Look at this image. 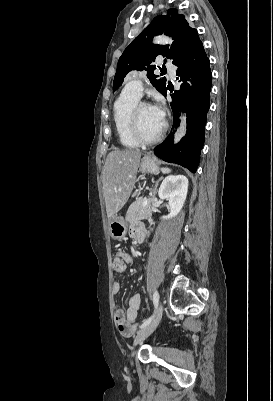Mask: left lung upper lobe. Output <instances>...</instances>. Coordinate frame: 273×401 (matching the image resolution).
<instances>
[{
    "label": "left lung upper lobe",
    "instance_id": "left-lung-upper-lobe-1",
    "mask_svg": "<svg viewBox=\"0 0 273 401\" xmlns=\"http://www.w3.org/2000/svg\"><path fill=\"white\" fill-rule=\"evenodd\" d=\"M166 34L174 39L171 46L154 45L152 38L155 35ZM196 29L189 26L185 16L176 9H169L165 15L155 17L144 31L124 50L119 58L117 71L113 81V91L117 90L125 76L132 70H146L150 82L160 93L166 90V79H156V67L153 65L156 56L175 60L199 41Z\"/></svg>",
    "mask_w": 273,
    "mask_h": 401
}]
</instances>
